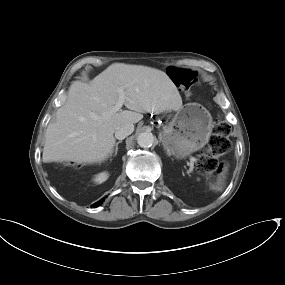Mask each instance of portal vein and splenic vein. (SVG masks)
<instances>
[{"label":"portal vein and splenic vein","instance_id":"18ae733b","mask_svg":"<svg viewBox=\"0 0 285 285\" xmlns=\"http://www.w3.org/2000/svg\"><path fill=\"white\" fill-rule=\"evenodd\" d=\"M119 92V100L118 102L116 103V105L114 106L113 108V111L114 112H117L121 109V107L123 106L124 104V101H125V95H124V92H123V89L120 88L118 90ZM190 161L193 163V162H197V159L195 157H190Z\"/></svg>","mask_w":285,"mask_h":285}]
</instances>
